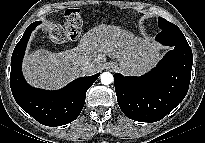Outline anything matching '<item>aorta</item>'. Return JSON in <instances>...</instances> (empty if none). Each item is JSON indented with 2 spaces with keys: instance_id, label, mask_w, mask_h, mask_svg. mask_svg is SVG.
Listing matches in <instances>:
<instances>
[{
  "instance_id": "obj_1",
  "label": "aorta",
  "mask_w": 205,
  "mask_h": 143,
  "mask_svg": "<svg viewBox=\"0 0 205 143\" xmlns=\"http://www.w3.org/2000/svg\"><path fill=\"white\" fill-rule=\"evenodd\" d=\"M101 83L104 85H109L113 82L114 78L110 72H103L100 75Z\"/></svg>"
}]
</instances>
